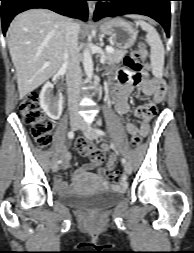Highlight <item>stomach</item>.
Here are the masks:
<instances>
[{
  "label": "stomach",
  "mask_w": 194,
  "mask_h": 253,
  "mask_svg": "<svg viewBox=\"0 0 194 253\" xmlns=\"http://www.w3.org/2000/svg\"><path fill=\"white\" fill-rule=\"evenodd\" d=\"M102 34L108 36L120 50H127L132 47L137 38V32L133 26L120 19H107L100 25Z\"/></svg>",
  "instance_id": "1"
}]
</instances>
